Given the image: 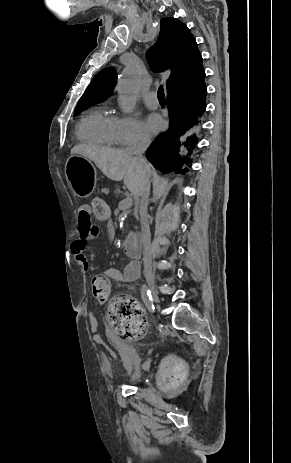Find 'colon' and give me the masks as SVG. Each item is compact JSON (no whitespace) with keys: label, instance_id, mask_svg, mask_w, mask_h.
I'll return each mask as SVG.
<instances>
[{"label":"colon","instance_id":"5ec220e1","mask_svg":"<svg viewBox=\"0 0 291 463\" xmlns=\"http://www.w3.org/2000/svg\"><path fill=\"white\" fill-rule=\"evenodd\" d=\"M95 214L103 219L108 214V206L102 199L93 203ZM91 291L99 302H107L111 295V282L102 275L95 276L91 281ZM108 320L112 331L124 339H135L142 336L146 328V318L140 304L133 298L116 296L111 299L108 308ZM183 371L181 362H176L173 375Z\"/></svg>","mask_w":291,"mask_h":463}]
</instances>
